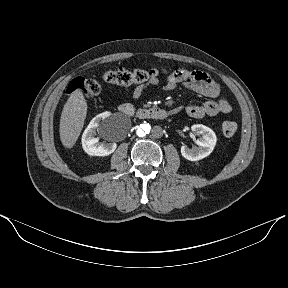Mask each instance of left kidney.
Here are the masks:
<instances>
[{"instance_id":"obj_1","label":"left kidney","mask_w":288,"mask_h":288,"mask_svg":"<svg viewBox=\"0 0 288 288\" xmlns=\"http://www.w3.org/2000/svg\"><path fill=\"white\" fill-rule=\"evenodd\" d=\"M191 130L200 135V139L196 141L198 147H193L192 149L187 146L181 147L182 156L190 161H198L207 156H209L215 145H216V134L215 132L207 126L202 124H195L191 127Z\"/></svg>"}]
</instances>
